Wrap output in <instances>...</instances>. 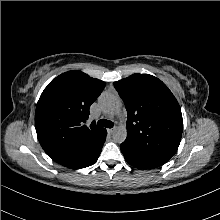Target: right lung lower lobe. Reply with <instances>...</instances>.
I'll return each instance as SVG.
<instances>
[{
    "mask_svg": "<svg viewBox=\"0 0 220 220\" xmlns=\"http://www.w3.org/2000/svg\"><path fill=\"white\" fill-rule=\"evenodd\" d=\"M105 140H106V136L101 141V143L97 146V148H96V150H95V152L93 154L92 160H90L89 164H87L85 167L90 166V165L94 164L97 161V159H98V157L100 155V152L102 150V146H103ZM79 168H84V167H79ZM79 168H76V169H79Z\"/></svg>",
    "mask_w": 220,
    "mask_h": 220,
    "instance_id": "obj_1",
    "label": "right lung lower lobe"
}]
</instances>
